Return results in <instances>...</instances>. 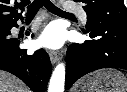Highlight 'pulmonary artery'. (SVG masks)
Returning a JSON list of instances; mask_svg holds the SVG:
<instances>
[{"label":"pulmonary artery","instance_id":"obj_1","mask_svg":"<svg viewBox=\"0 0 127 92\" xmlns=\"http://www.w3.org/2000/svg\"><path fill=\"white\" fill-rule=\"evenodd\" d=\"M63 9H64V11L74 12V13L78 14L79 18L82 22H84V23L87 22V14L84 11H82L81 9H79L77 6L72 5L70 3H64Z\"/></svg>","mask_w":127,"mask_h":92}]
</instances>
